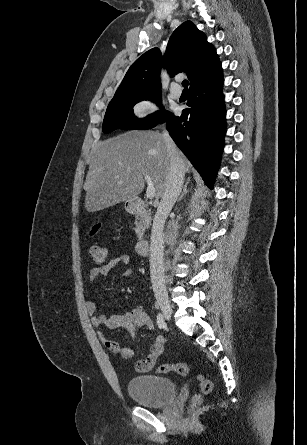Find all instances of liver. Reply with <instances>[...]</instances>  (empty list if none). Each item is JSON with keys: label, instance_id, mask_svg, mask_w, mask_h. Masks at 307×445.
Masks as SVG:
<instances>
[{"label": "liver", "instance_id": "liver-1", "mask_svg": "<svg viewBox=\"0 0 307 445\" xmlns=\"http://www.w3.org/2000/svg\"><path fill=\"white\" fill-rule=\"evenodd\" d=\"M178 152L188 172L189 160L181 150ZM169 166L170 156L161 132L129 130L99 140L83 184L86 210L96 212L137 196L145 186V174L153 180L156 198H160Z\"/></svg>", "mask_w": 307, "mask_h": 445}]
</instances>
